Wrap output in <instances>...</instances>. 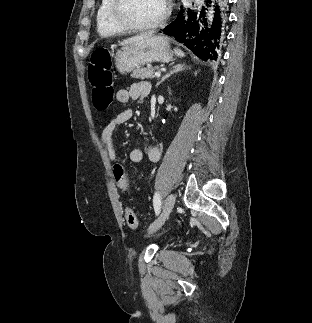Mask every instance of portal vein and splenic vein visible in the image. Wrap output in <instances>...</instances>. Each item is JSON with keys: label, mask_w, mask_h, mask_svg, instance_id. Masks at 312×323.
Listing matches in <instances>:
<instances>
[{"label": "portal vein and splenic vein", "mask_w": 312, "mask_h": 323, "mask_svg": "<svg viewBox=\"0 0 312 323\" xmlns=\"http://www.w3.org/2000/svg\"><path fill=\"white\" fill-rule=\"evenodd\" d=\"M155 76H157V78H160L161 72H155Z\"/></svg>", "instance_id": "portal-vein-and-splenic-vein-1"}]
</instances>
